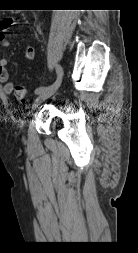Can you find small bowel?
I'll use <instances>...</instances> for the list:
<instances>
[{"instance_id": "small-bowel-1", "label": "small bowel", "mask_w": 138, "mask_h": 253, "mask_svg": "<svg viewBox=\"0 0 138 253\" xmlns=\"http://www.w3.org/2000/svg\"><path fill=\"white\" fill-rule=\"evenodd\" d=\"M12 25H20L19 21L13 18H5L0 20V45L9 47L8 28ZM25 58L29 61L35 57V48L32 44L27 43L24 48ZM8 61L6 58L0 57V82L3 83V90L6 94L10 95L14 91V84L9 81V73L7 70Z\"/></svg>"}]
</instances>
